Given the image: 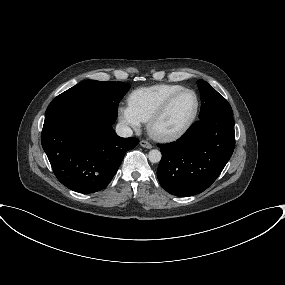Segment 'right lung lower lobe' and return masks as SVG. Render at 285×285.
<instances>
[{
    "mask_svg": "<svg viewBox=\"0 0 285 285\" xmlns=\"http://www.w3.org/2000/svg\"><path fill=\"white\" fill-rule=\"evenodd\" d=\"M115 120L77 101L52 100L45 113L41 142L63 185L88 194L109 184L126 151L139 143L135 137H119L111 127Z\"/></svg>",
    "mask_w": 285,
    "mask_h": 285,
    "instance_id": "right-lung-lower-lobe-1",
    "label": "right lung lower lobe"
}]
</instances>
